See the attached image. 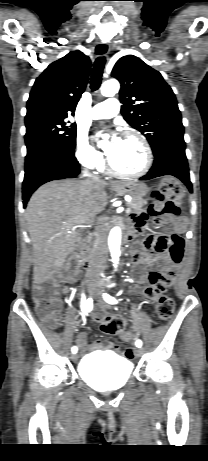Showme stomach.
Instances as JSON below:
<instances>
[{"label":"stomach","mask_w":208,"mask_h":461,"mask_svg":"<svg viewBox=\"0 0 208 461\" xmlns=\"http://www.w3.org/2000/svg\"><path fill=\"white\" fill-rule=\"evenodd\" d=\"M113 190L118 194H129L133 199H139L148 193L149 188L143 182L130 181L115 184Z\"/></svg>","instance_id":"stomach-1"}]
</instances>
